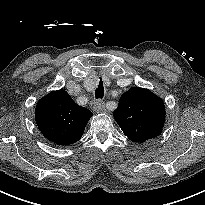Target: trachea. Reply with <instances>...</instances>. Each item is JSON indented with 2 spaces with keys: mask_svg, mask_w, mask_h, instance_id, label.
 <instances>
[{
  "mask_svg": "<svg viewBox=\"0 0 205 205\" xmlns=\"http://www.w3.org/2000/svg\"><path fill=\"white\" fill-rule=\"evenodd\" d=\"M103 96H104V86H103L102 79H100L98 87L95 90V98L100 99Z\"/></svg>",
  "mask_w": 205,
  "mask_h": 205,
  "instance_id": "obj_1",
  "label": "trachea"
}]
</instances>
